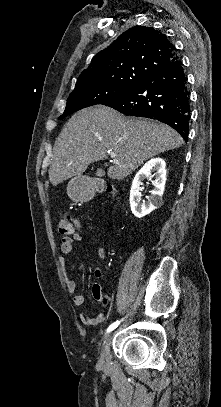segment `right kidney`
Here are the masks:
<instances>
[{
    "mask_svg": "<svg viewBox=\"0 0 221 407\" xmlns=\"http://www.w3.org/2000/svg\"><path fill=\"white\" fill-rule=\"evenodd\" d=\"M166 164L162 158L149 160L135 175L130 190V207L137 218H142L162 205V195L166 182ZM153 172V174H152ZM147 177H154V189L148 201H141L142 181Z\"/></svg>",
    "mask_w": 221,
    "mask_h": 407,
    "instance_id": "ca27d5eb",
    "label": "right kidney"
}]
</instances>
